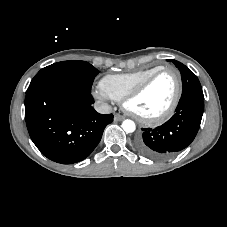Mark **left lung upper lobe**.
<instances>
[{
    "label": "left lung upper lobe",
    "instance_id": "1",
    "mask_svg": "<svg viewBox=\"0 0 227 227\" xmlns=\"http://www.w3.org/2000/svg\"><path fill=\"white\" fill-rule=\"evenodd\" d=\"M171 61L181 72V78H182V84H183L182 95L187 94L189 92L203 93L202 87L200 85V82L197 76L182 63L173 59Z\"/></svg>",
    "mask_w": 227,
    "mask_h": 227
}]
</instances>
